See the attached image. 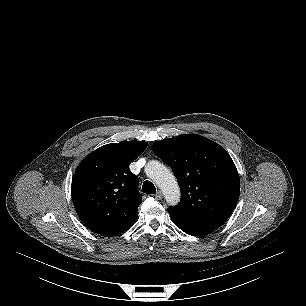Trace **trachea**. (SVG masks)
I'll list each match as a JSON object with an SVG mask.
<instances>
[{
    "label": "trachea",
    "instance_id": "trachea-1",
    "mask_svg": "<svg viewBox=\"0 0 306 306\" xmlns=\"http://www.w3.org/2000/svg\"><path fill=\"white\" fill-rule=\"evenodd\" d=\"M142 192L147 194H156V188L150 181H145L142 185Z\"/></svg>",
    "mask_w": 306,
    "mask_h": 306
}]
</instances>
